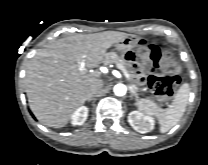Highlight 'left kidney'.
<instances>
[{
    "label": "left kidney",
    "mask_w": 208,
    "mask_h": 165,
    "mask_svg": "<svg viewBox=\"0 0 208 165\" xmlns=\"http://www.w3.org/2000/svg\"><path fill=\"white\" fill-rule=\"evenodd\" d=\"M128 122L139 133H148L154 129L155 120L149 115L138 111H132L128 115Z\"/></svg>",
    "instance_id": "1"
}]
</instances>
